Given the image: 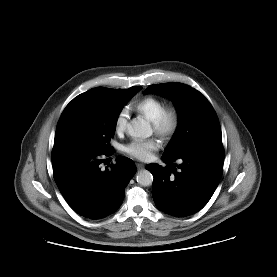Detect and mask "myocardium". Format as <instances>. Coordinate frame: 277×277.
<instances>
[{"instance_id": "obj_1", "label": "myocardium", "mask_w": 277, "mask_h": 277, "mask_svg": "<svg viewBox=\"0 0 277 277\" xmlns=\"http://www.w3.org/2000/svg\"><path fill=\"white\" fill-rule=\"evenodd\" d=\"M154 132L164 141L171 140L180 126V115L176 107H165L160 116L152 122Z\"/></svg>"}]
</instances>
